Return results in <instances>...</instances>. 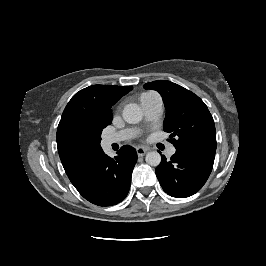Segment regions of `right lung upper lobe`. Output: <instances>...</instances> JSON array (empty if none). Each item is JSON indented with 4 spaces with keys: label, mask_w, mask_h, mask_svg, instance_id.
<instances>
[{
    "label": "right lung upper lobe",
    "mask_w": 266,
    "mask_h": 266,
    "mask_svg": "<svg viewBox=\"0 0 266 266\" xmlns=\"http://www.w3.org/2000/svg\"><path fill=\"white\" fill-rule=\"evenodd\" d=\"M131 90L130 86L92 85L77 92L65 107L56 141L62 165L74 186L84 180L103 151L98 127L112 120L111 107Z\"/></svg>",
    "instance_id": "obj_1"
}]
</instances>
